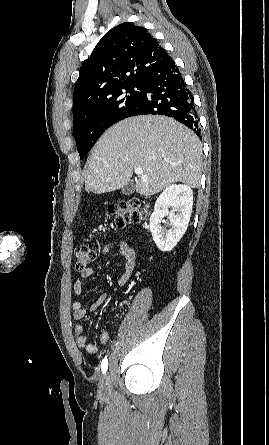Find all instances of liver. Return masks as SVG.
<instances>
[{"mask_svg":"<svg viewBox=\"0 0 269 445\" xmlns=\"http://www.w3.org/2000/svg\"><path fill=\"white\" fill-rule=\"evenodd\" d=\"M202 145L187 127L165 116H135L110 127L87 161L86 192L104 194L124 188L136 167L143 174L136 191L159 193L175 182L198 188Z\"/></svg>","mask_w":269,"mask_h":445,"instance_id":"obj_1","label":"liver"}]
</instances>
